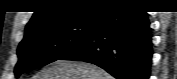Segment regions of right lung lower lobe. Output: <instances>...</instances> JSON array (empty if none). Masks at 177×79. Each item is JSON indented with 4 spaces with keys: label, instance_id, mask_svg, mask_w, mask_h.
Returning <instances> with one entry per match:
<instances>
[{
    "label": "right lung lower lobe",
    "instance_id": "1",
    "mask_svg": "<svg viewBox=\"0 0 177 79\" xmlns=\"http://www.w3.org/2000/svg\"><path fill=\"white\" fill-rule=\"evenodd\" d=\"M147 13L131 6L105 9L88 37L59 60L96 64L117 79H148L152 42Z\"/></svg>",
    "mask_w": 177,
    "mask_h": 79
}]
</instances>
